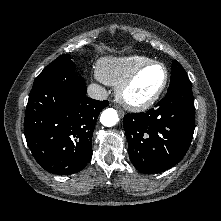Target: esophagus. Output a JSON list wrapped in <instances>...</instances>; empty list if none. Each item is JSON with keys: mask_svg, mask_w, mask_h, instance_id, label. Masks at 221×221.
Listing matches in <instances>:
<instances>
[{"mask_svg": "<svg viewBox=\"0 0 221 221\" xmlns=\"http://www.w3.org/2000/svg\"><path fill=\"white\" fill-rule=\"evenodd\" d=\"M119 114H120L121 117H123L124 116V111L119 109Z\"/></svg>", "mask_w": 221, "mask_h": 221, "instance_id": "1", "label": "esophagus"}]
</instances>
